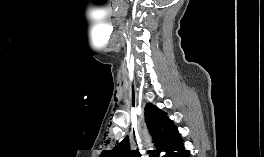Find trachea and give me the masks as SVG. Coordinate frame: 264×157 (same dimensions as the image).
I'll return each instance as SVG.
<instances>
[{
    "label": "trachea",
    "instance_id": "trachea-1",
    "mask_svg": "<svg viewBox=\"0 0 264 157\" xmlns=\"http://www.w3.org/2000/svg\"><path fill=\"white\" fill-rule=\"evenodd\" d=\"M151 157H156V155L153 153Z\"/></svg>",
    "mask_w": 264,
    "mask_h": 157
}]
</instances>
